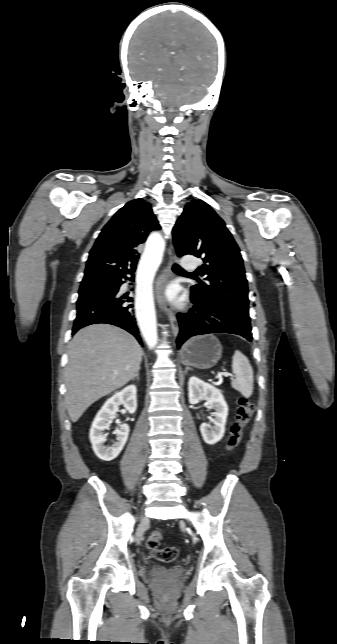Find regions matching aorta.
<instances>
[{
  "label": "aorta",
  "instance_id": "1",
  "mask_svg": "<svg viewBox=\"0 0 337 644\" xmlns=\"http://www.w3.org/2000/svg\"><path fill=\"white\" fill-rule=\"evenodd\" d=\"M163 241L148 248L142 255L136 274L135 309L140 330L147 345L153 349L158 342L152 281L161 262Z\"/></svg>",
  "mask_w": 337,
  "mask_h": 644
}]
</instances>
